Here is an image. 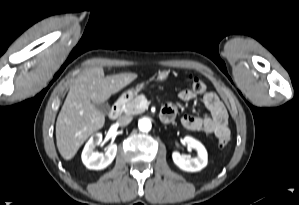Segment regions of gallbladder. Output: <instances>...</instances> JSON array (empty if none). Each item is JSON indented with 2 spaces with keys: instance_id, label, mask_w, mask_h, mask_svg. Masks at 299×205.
I'll return each mask as SVG.
<instances>
[{
  "instance_id": "bac80fb5",
  "label": "gallbladder",
  "mask_w": 299,
  "mask_h": 205,
  "mask_svg": "<svg viewBox=\"0 0 299 205\" xmlns=\"http://www.w3.org/2000/svg\"><path fill=\"white\" fill-rule=\"evenodd\" d=\"M95 107L104 115L110 112V105L107 102L94 103Z\"/></svg>"
}]
</instances>
